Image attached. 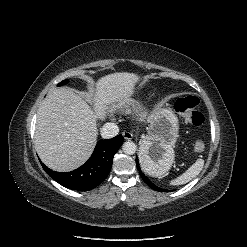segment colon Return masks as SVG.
<instances>
[{"label": "colon", "instance_id": "obj_1", "mask_svg": "<svg viewBox=\"0 0 247 247\" xmlns=\"http://www.w3.org/2000/svg\"><path fill=\"white\" fill-rule=\"evenodd\" d=\"M199 100L195 96H186L179 98L175 103V109L181 114L186 121L193 126H200L204 122V116L199 110ZM195 152H202L205 150V143L203 140H196L193 145Z\"/></svg>", "mask_w": 247, "mask_h": 247}]
</instances>
